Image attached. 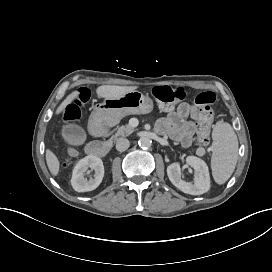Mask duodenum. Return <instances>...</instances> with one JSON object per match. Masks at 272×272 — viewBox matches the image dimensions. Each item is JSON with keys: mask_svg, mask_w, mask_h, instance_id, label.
Instances as JSON below:
<instances>
[{"mask_svg": "<svg viewBox=\"0 0 272 272\" xmlns=\"http://www.w3.org/2000/svg\"><path fill=\"white\" fill-rule=\"evenodd\" d=\"M108 119L107 112L104 107H98L94 111L90 120V131L96 137H103L107 133ZM110 151V145L102 141H92L86 147L88 155L103 158Z\"/></svg>", "mask_w": 272, "mask_h": 272, "instance_id": "1", "label": "duodenum"}]
</instances>
